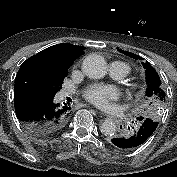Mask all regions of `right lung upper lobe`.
Segmentation results:
<instances>
[{
    "label": "right lung upper lobe",
    "mask_w": 177,
    "mask_h": 177,
    "mask_svg": "<svg viewBox=\"0 0 177 177\" xmlns=\"http://www.w3.org/2000/svg\"><path fill=\"white\" fill-rule=\"evenodd\" d=\"M84 49L83 46L61 43L40 51L21 65L15 78V87L31 81L49 85L62 84L68 68L84 53Z\"/></svg>",
    "instance_id": "obj_1"
}]
</instances>
